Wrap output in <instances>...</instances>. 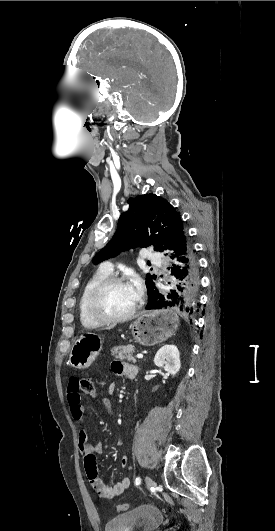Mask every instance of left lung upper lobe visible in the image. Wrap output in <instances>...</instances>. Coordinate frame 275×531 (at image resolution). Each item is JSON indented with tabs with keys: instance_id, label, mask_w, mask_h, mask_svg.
<instances>
[{
	"instance_id": "1",
	"label": "left lung upper lobe",
	"mask_w": 275,
	"mask_h": 531,
	"mask_svg": "<svg viewBox=\"0 0 275 531\" xmlns=\"http://www.w3.org/2000/svg\"><path fill=\"white\" fill-rule=\"evenodd\" d=\"M128 204L129 209L121 214L116 233L93 258L94 264L136 246L148 247L153 244L156 251H166L174 232L182 225L175 208L155 194L130 198ZM154 279L155 275H146L148 299L158 291L153 283Z\"/></svg>"
}]
</instances>
